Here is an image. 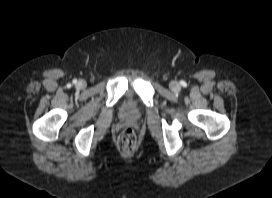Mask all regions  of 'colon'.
I'll return each instance as SVG.
<instances>
[{"instance_id":"1","label":"colon","mask_w":272,"mask_h":198,"mask_svg":"<svg viewBox=\"0 0 272 198\" xmlns=\"http://www.w3.org/2000/svg\"><path fill=\"white\" fill-rule=\"evenodd\" d=\"M136 142V133L131 127L123 129L120 132L117 140L120 151L125 154H128L134 150Z\"/></svg>"}]
</instances>
